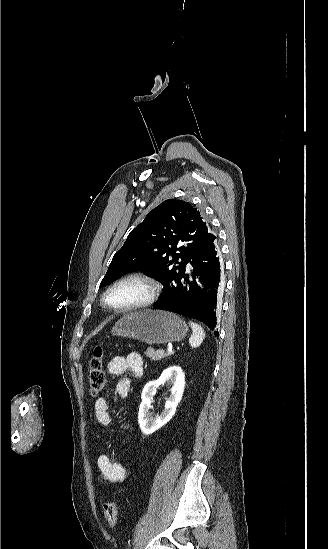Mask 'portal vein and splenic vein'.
<instances>
[{
    "instance_id": "obj_1",
    "label": "portal vein and splenic vein",
    "mask_w": 328,
    "mask_h": 549,
    "mask_svg": "<svg viewBox=\"0 0 328 549\" xmlns=\"http://www.w3.org/2000/svg\"><path fill=\"white\" fill-rule=\"evenodd\" d=\"M167 353H172V347L167 348Z\"/></svg>"
}]
</instances>
